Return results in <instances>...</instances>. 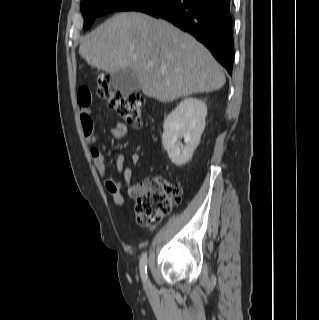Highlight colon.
<instances>
[{"instance_id":"5ec220e1","label":"colon","mask_w":319,"mask_h":320,"mask_svg":"<svg viewBox=\"0 0 319 320\" xmlns=\"http://www.w3.org/2000/svg\"><path fill=\"white\" fill-rule=\"evenodd\" d=\"M97 94L129 125L142 124L144 98L137 93L114 91L107 77L97 81ZM135 203L136 220L141 225H157L180 202L182 190L158 175L146 178L138 188Z\"/></svg>"}]
</instances>
